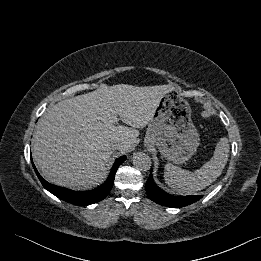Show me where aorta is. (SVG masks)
Returning a JSON list of instances; mask_svg holds the SVG:
<instances>
[{
	"label": "aorta",
	"instance_id": "762f6f07",
	"mask_svg": "<svg viewBox=\"0 0 261 261\" xmlns=\"http://www.w3.org/2000/svg\"><path fill=\"white\" fill-rule=\"evenodd\" d=\"M133 165L141 170V171H148L151 168V159L148 154L143 152H137L133 155Z\"/></svg>",
	"mask_w": 261,
	"mask_h": 261
}]
</instances>
